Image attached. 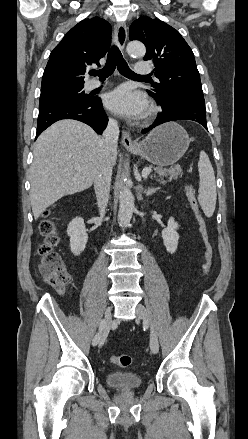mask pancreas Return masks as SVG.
Returning a JSON list of instances; mask_svg holds the SVG:
<instances>
[{
	"label": "pancreas",
	"mask_w": 248,
	"mask_h": 439,
	"mask_svg": "<svg viewBox=\"0 0 248 439\" xmlns=\"http://www.w3.org/2000/svg\"><path fill=\"white\" fill-rule=\"evenodd\" d=\"M181 166L175 165L169 169L157 167L155 169L156 173L158 174V181H160L162 184H165L166 181L163 179L164 177L169 176V181H171L173 178L178 177L181 173Z\"/></svg>",
	"instance_id": "pancreas-1"
}]
</instances>
